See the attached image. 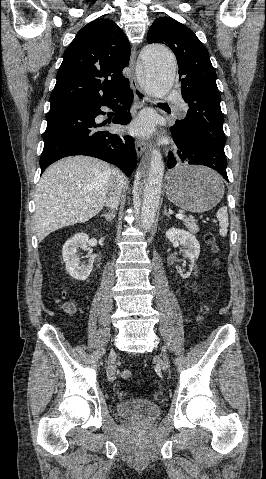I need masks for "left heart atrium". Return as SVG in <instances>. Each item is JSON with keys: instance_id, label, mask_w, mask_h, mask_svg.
Here are the masks:
<instances>
[{"instance_id": "left-heart-atrium-1", "label": "left heart atrium", "mask_w": 266, "mask_h": 479, "mask_svg": "<svg viewBox=\"0 0 266 479\" xmlns=\"http://www.w3.org/2000/svg\"><path fill=\"white\" fill-rule=\"evenodd\" d=\"M152 128V119L148 115L139 117L132 125L131 130L134 133L146 134Z\"/></svg>"}]
</instances>
